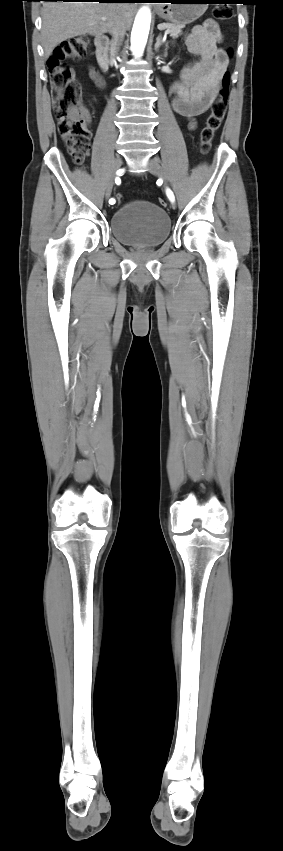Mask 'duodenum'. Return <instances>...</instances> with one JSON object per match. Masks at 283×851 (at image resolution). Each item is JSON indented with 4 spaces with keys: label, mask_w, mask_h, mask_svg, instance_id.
I'll list each match as a JSON object with an SVG mask.
<instances>
[{
    "label": "duodenum",
    "mask_w": 283,
    "mask_h": 851,
    "mask_svg": "<svg viewBox=\"0 0 283 851\" xmlns=\"http://www.w3.org/2000/svg\"><path fill=\"white\" fill-rule=\"evenodd\" d=\"M95 47L98 63L102 69L106 70L108 68V38L106 36H98L95 40Z\"/></svg>",
    "instance_id": "duodenum-1"
}]
</instances>
